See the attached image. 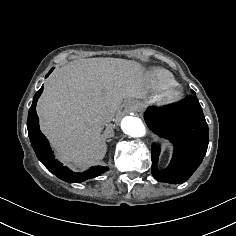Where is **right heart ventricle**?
<instances>
[{
  "mask_svg": "<svg viewBox=\"0 0 236 236\" xmlns=\"http://www.w3.org/2000/svg\"><path fill=\"white\" fill-rule=\"evenodd\" d=\"M177 84L174 76L164 70H154L151 73L150 87L157 93L162 94Z\"/></svg>",
  "mask_w": 236,
  "mask_h": 236,
  "instance_id": "right-heart-ventricle-1",
  "label": "right heart ventricle"
}]
</instances>
